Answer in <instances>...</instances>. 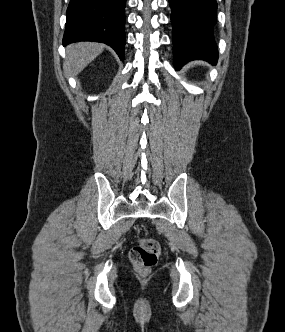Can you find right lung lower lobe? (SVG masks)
<instances>
[{
  "instance_id": "1",
  "label": "right lung lower lobe",
  "mask_w": 285,
  "mask_h": 332,
  "mask_svg": "<svg viewBox=\"0 0 285 332\" xmlns=\"http://www.w3.org/2000/svg\"><path fill=\"white\" fill-rule=\"evenodd\" d=\"M126 0H70L63 45L102 42L124 59Z\"/></svg>"
}]
</instances>
